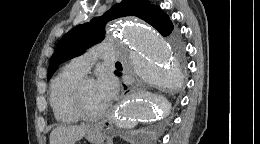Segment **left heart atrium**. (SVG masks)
<instances>
[{
  "mask_svg": "<svg viewBox=\"0 0 260 144\" xmlns=\"http://www.w3.org/2000/svg\"><path fill=\"white\" fill-rule=\"evenodd\" d=\"M101 96L106 104L115 96L117 91V83L110 75H103L97 82Z\"/></svg>",
  "mask_w": 260,
  "mask_h": 144,
  "instance_id": "obj_1",
  "label": "left heart atrium"
}]
</instances>
